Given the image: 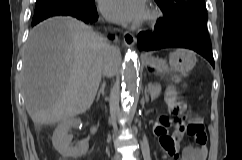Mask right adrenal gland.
<instances>
[{
	"label": "right adrenal gland",
	"mask_w": 242,
	"mask_h": 160,
	"mask_svg": "<svg viewBox=\"0 0 242 160\" xmlns=\"http://www.w3.org/2000/svg\"><path fill=\"white\" fill-rule=\"evenodd\" d=\"M105 86H106V83H105V81H103V83H102V85H101V87H100V89L97 93V98H96L97 100H99L100 95H103V96L105 95V92H104Z\"/></svg>",
	"instance_id": "obj_1"
}]
</instances>
